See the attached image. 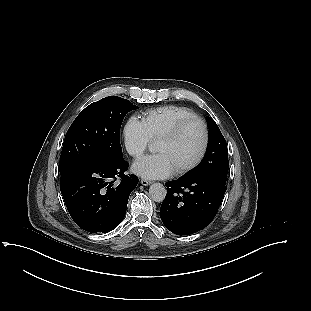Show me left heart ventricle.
Masks as SVG:
<instances>
[{
	"mask_svg": "<svg viewBox=\"0 0 311 311\" xmlns=\"http://www.w3.org/2000/svg\"><path fill=\"white\" fill-rule=\"evenodd\" d=\"M202 141V131L199 125L193 124L173 141H157L155 149L164 153L173 169L190 162L198 153Z\"/></svg>",
	"mask_w": 311,
	"mask_h": 311,
	"instance_id": "left-heart-ventricle-1",
	"label": "left heart ventricle"
}]
</instances>
